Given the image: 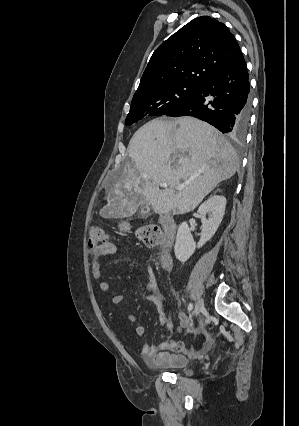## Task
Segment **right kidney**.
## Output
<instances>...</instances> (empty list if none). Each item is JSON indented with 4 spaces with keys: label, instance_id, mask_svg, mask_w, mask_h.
<instances>
[{
    "label": "right kidney",
    "instance_id": "1",
    "mask_svg": "<svg viewBox=\"0 0 299 426\" xmlns=\"http://www.w3.org/2000/svg\"><path fill=\"white\" fill-rule=\"evenodd\" d=\"M226 198L214 194L204 201L198 208L202 222V232L199 242L196 244L191 235L187 222H183L177 231L174 247L175 256L180 262H186L195 252L202 247L217 231L225 214ZM208 214V218L206 215Z\"/></svg>",
    "mask_w": 299,
    "mask_h": 426
}]
</instances>
